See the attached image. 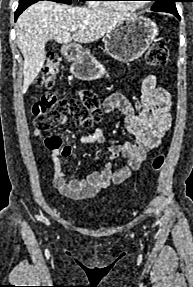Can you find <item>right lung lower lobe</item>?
<instances>
[{
  "label": "right lung lower lobe",
  "instance_id": "right-lung-lower-lobe-1",
  "mask_svg": "<svg viewBox=\"0 0 193 287\" xmlns=\"http://www.w3.org/2000/svg\"><path fill=\"white\" fill-rule=\"evenodd\" d=\"M36 3L35 0H29V1H20L19 6L15 12V20L18 18V16L31 4Z\"/></svg>",
  "mask_w": 193,
  "mask_h": 287
}]
</instances>
